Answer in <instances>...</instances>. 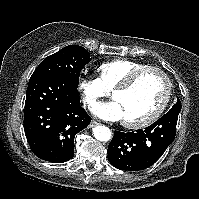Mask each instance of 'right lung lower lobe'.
<instances>
[{
  "mask_svg": "<svg viewBox=\"0 0 199 199\" xmlns=\"http://www.w3.org/2000/svg\"><path fill=\"white\" fill-rule=\"evenodd\" d=\"M91 118L79 104V93L58 75L29 80L24 131L32 152L45 161L62 163L74 154V138Z\"/></svg>",
  "mask_w": 199,
  "mask_h": 199,
  "instance_id": "obj_1",
  "label": "right lung lower lobe"
}]
</instances>
